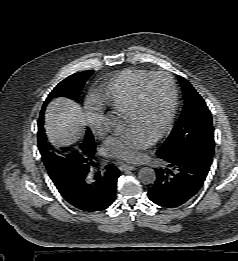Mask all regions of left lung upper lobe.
Masks as SVG:
<instances>
[{
    "instance_id": "1",
    "label": "left lung upper lobe",
    "mask_w": 238,
    "mask_h": 261,
    "mask_svg": "<svg viewBox=\"0 0 238 261\" xmlns=\"http://www.w3.org/2000/svg\"><path fill=\"white\" fill-rule=\"evenodd\" d=\"M182 85L184 106L170 135L157 150L159 157L184 156L200 149L212 160L214 153V128L211 113L194 87L178 76Z\"/></svg>"
}]
</instances>
